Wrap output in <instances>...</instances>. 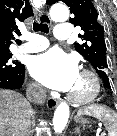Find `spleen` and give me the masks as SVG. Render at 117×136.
Here are the masks:
<instances>
[{"label":"spleen","instance_id":"3e777b00","mask_svg":"<svg viewBox=\"0 0 117 136\" xmlns=\"http://www.w3.org/2000/svg\"><path fill=\"white\" fill-rule=\"evenodd\" d=\"M77 115H88L95 117L104 123L109 136H117V113L108 107L97 104L88 105L80 109Z\"/></svg>","mask_w":117,"mask_h":136}]
</instances>
